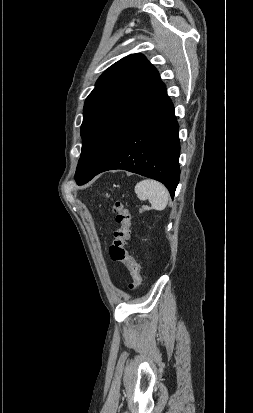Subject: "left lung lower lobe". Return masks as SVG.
<instances>
[{
  "mask_svg": "<svg viewBox=\"0 0 253 413\" xmlns=\"http://www.w3.org/2000/svg\"><path fill=\"white\" fill-rule=\"evenodd\" d=\"M174 112L165 92L105 163L79 185L101 172L124 169L162 182L173 198L180 177L179 125Z\"/></svg>",
  "mask_w": 253,
  "mask_h": 413,
  "instance_id": "left-lung-lower-lobe-1",
  "label": "left lung lower lobe"
}]
</instances>
